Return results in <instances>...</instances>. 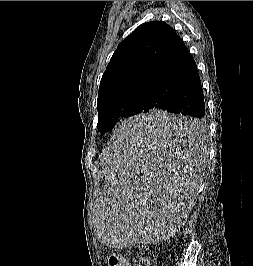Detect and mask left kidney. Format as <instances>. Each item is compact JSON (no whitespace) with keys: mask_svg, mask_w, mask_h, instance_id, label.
I'll return each instance as SVG.
<instances>
[{"mask_svg":"<svg viewBox=\"0 0 253 266\" xmlns=\"http://www.w3.org/2000/svg\"><path fill=\"white\" fill-rule=\"evenodd\" d=\"M190 204V201H188L187 203H186V206H188Z\"/></svg>","mask_w":253,"mask_h":266,"instance_id":"5707ae66","label":"left kidney"}]
</instances>
